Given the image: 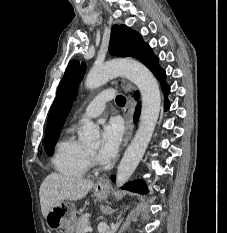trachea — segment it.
<instances>
[{
    "label": "trachea",
    "instance_id": "3493384b",
    "mask_svg": "<svg viewBox=\"0 0 227 233\" xmlns=\"http://www.w3.org/2000/svg\"><path fill=\"white\" fill-rule=\"evenodd\" d=\"M125 102H126V99H125V97H123L122 95H118V96L116 97V103H117V105H119V106H124V105H125Z\"/></svg>",
    "mask_w": 227,
    "mask_h": 233
}]
</instances>
